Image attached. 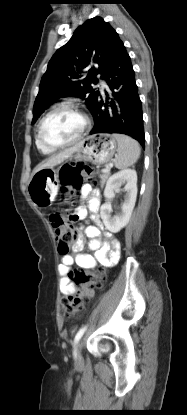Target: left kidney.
<instances>
[{"mask_svg":"<svg viewBox=\"0 0 187 415\" xmlns=\"http://www.w3.org/2000/svg\"><path fill=\"white\" fill-rule=\"evenodd\" d=\"M122 183H125L124 202L121 204V212L115 216H111L112 205L111 200L115 196V192L119 191ZM104 197L107 202L100 208V216L107 230L112 233L119 232L124 228L131 217L137 197V173L133 169H123L113 174L107 181Z\"/></svg>","mask_w":187,"mask_h":415,"instance_id":"obj_1","label":"left kidney"}]
</instances>
